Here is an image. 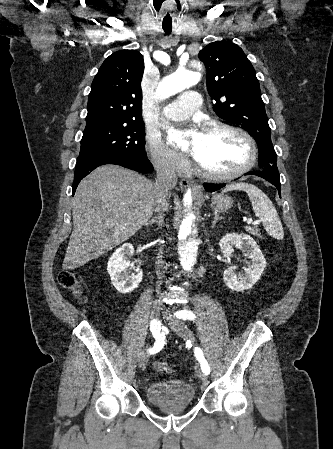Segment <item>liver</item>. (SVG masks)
<instances>
[{
    "label": "liver",
    "instance_id": "obj_1",
    "mask_svg": "<svg viewBox=\"0 0 333 449\" xmlns=\"http://www.w3.org/2000/svg\"><path fill=\"white\" fill-rule=\"evenodd\" d=\"M158 200L154 183L117 165L95 169L72 199L73 232L64 265L76 268L133 236L151 218Z\"/></svg>",
    "mask_w": 333,
    "mask_h": 449
}]
</instances>
